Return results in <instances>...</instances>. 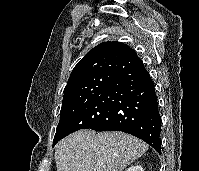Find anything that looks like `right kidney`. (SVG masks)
<instances>
[{
  "label": "right kidney",
  "mask_w": 199,
  "mask_h": 171,
  "mask_svg": "<svg viewBox=\"0 0 199 171\" xmlns=\"http://www.w3.org/2000/svg\"><path fill=\"white\" fill-rule=\"evenodd\" d=\"M126 171H144L141 165H133Z\"/></svg>",
  "instance_id": "right-kidney-1"
}]
</instances>
